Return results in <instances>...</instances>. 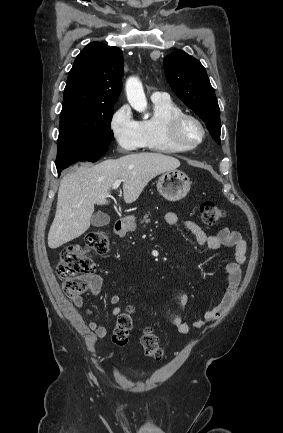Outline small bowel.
<instances>
[{"mask_svg":"<svg viewBox=\"0 0 283 433\" xmlns=\"http://www.w3.org/2000/svg\"><path fill=\"white\" fill-rule=\"evenodd\" d=\"M165 222L170 228H173L178 224L179 218L175 213L168 212L165 215ZM183 225L195 236V239L200 246L212 250H217L223 246H229L234 249V259L226 267L227 288L221 303L213 309L206 311L203 318L193 324L196 328H202L206 323L220 319L235 302L241 281V265L246 259L247 245L239 232L231 230L228 227L222 228L218 233L211 235L207 234L192 221H183ZM101 287L102 283L98 277L94 276L90 279V291L93 295L99 294ZM121 299L122 297L120 294H114L110 298V303L113 305V316H118L122 312V307L120 305ZM179 301L181 306H186L188 303V296L186 294H181L179 296ZM82 306L83 299L81 296H77L71 298V302L67 303L65 307L67 317L76 325H84L83 318L77 310V308ZM86 313L92 315L93 311L87 309ZM172 324L181 334H188L191 331V325L185 322L179 315H175L172 318ZM87 327L100 339L106 338L110 333L109 328L101 326L95 320L90 321L87 324Z\"/></svg>","mask_w":283,"mask_h":433,"instance_id":"c3829d8e","label":"small bowel"}]
</instances>
